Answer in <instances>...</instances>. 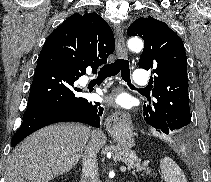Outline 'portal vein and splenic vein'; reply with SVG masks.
Listing matches in <instances>:
<instances>
[{"label":"portal vein and splenic vein","instance_id":"obj_1","mask_svg":"<svg viewBox=\"0 0 211 182\" xmlns=\"http://www.w3.org/2000/svg\"><path fill=\"white\" fill-rule=\"evenodd\" d=\"M120 170H121V172H125L126 171V167L123 166V167L120 168Z\"/></svg>","mask_w":211,"mask_h":182}]
</instances>
